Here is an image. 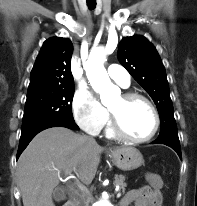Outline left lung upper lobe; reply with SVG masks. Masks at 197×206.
<instances>
[{
	"label": "left lung upper lobe",
	"mask_w": 197,
	"mask_h": 206,
	"mask_svg": "<svg viewBox=\"0 0 197 206\" xmlns=\"http://www.w3.org/2000/svg\"><path fill=\"white\" fill-rule=\"evenodd\" d=\"M118 59L156 104L161 125L158 138H178L165 68L155 47L144 36L124 37Z\"/></svg>",
	"instance_id": "obj_1"
}]
</instances>
